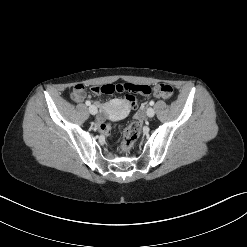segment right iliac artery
Wrapping results in <instances>:
<instances>
[{
	"mask_svg": "<svg viewBox=\"0 0 247 247\" xmlns=\"http://www.w3.org/2000/svg\"><path fill=\"white\" fill-rule=\"evenodd\" d=\"M85 104H86L87 106H89V105H91V102L87 100V101L85 102Z\"/></svg>",
	"mask_w": 247,
	"mask_h": 247,
	"instance_id": "right-iliac-artery-1",
	"label": "right iliac artery"
}]
</instances>
